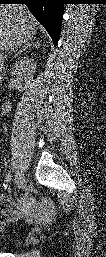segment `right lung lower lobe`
<instances>
[{
    "label": "right lung lower lobe",
    "mask_w": 106,
    "mask_h": 257,
    "mask_svg": "<svg viewBox=\"0 0 106 257\" xmlns=\"http://www.w3.org/2000/svg\"><path fill=\"white\" fill-rule=\"evenodd\" d=\"M1 4H26L35 18L46 28L54 45L58 43L63 0H0Z\"/></svg>",
    "instance_id": "98d812e1"
}]
</instances>
